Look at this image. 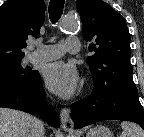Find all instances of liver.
Here are the masks:
<instances>
[{
	"instance_id": "6515ba94",
	"label": "liver",
	"mask_w": 144,
	"mask_h": 137,
	"mask_svg": "<svg viewBox=\"0 0 144 137\" xmlns=\"http://www.w3.org/2000/svg\"><path fill=\"white\" fill-rule=\"evenodd\" d=\"M43 122L27 113L0 108V137H44Z\"/></svg>"
}]
</instances>
